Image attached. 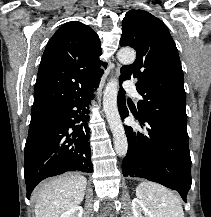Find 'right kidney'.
<instances>
[{
	"mask_svg": "<svg viewBox=\"0 0 211 217\" xmlns=\"http://www.w3.org/2000/svg\"><path fill=\"white\" fill-rule=\"evenodd\" d=\"M82 214H83V208L81 206H75L69 209L68 211H66L60 217H82Z\"/></svg>",
	"mask_w": 211,
	"mask_h": 217,
	"instance_id": "right-kidney-1",
	"label": "right kidney"
}]
</instances>
